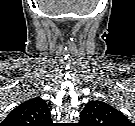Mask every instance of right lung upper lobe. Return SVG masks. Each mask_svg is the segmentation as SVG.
I'll return each mask as SVG.
<instances>
[{"label":"right lung upper lobe","instance_id":"1","mask_svg":"<svg viewBox=\"0 0 135 126\" xmlns=\"http://www.w3.org/2000/svg\"><path fill=\"white\" fill-rule=\"evenodd\" d=\"M51 113L41 98L29 99L13 109L3 121V126H49Z\"/></svg>","mask_w":135,"mask_h":126}]
</instances>
